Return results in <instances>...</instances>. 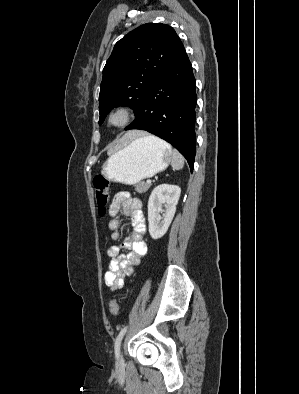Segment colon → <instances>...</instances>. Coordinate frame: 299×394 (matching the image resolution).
<instances>
[{
    "mask_svg": "<svg viewBox=\"0 0 299 394\" xmlns=\"http://www.w3.org/2000/svg\"><path fill=\"white\" fill-rule=\"evenodd\" d=\"M93 188L95 191L99 214L103 216L106 213V206L110 198L109 179L102 173L95 175L93 178ZM109 310L113 316L118 314L119 306L115 299H111L109 303Z\"/></svg>",
    "mask_w": 299,
    "mask_h": 394,
    "instance_id": "5ec220e1",
    "label": "colon"
}]
</instances>
